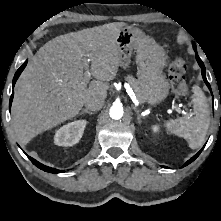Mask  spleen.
Instances as JSON below:
<instances>
[{
	"label": "spleen",
	"mask_w": 221,
	"mask_h": 221,
	"mask_svg": "<svg viewBox=\"0 0 221 221\" xmlns=\"http://www.w3.org/2000/svg\"><path fill=\"white\" fill-rule=\"evenodd\" d=\"M189 106L193 108V117L170 119L164 126L169 133L186 139L191 149H197L203 144L210 124L209 104L198 86L193 87Z\"/></svg>",
	"instance_id": "obj_1"
}]
</instances>
